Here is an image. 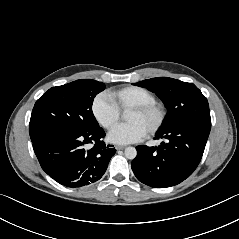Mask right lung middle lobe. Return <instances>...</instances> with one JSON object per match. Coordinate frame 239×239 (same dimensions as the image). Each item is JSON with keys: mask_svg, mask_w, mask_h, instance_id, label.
<instances>
[{"mask_svg": "<svg viewBox=\"0 0 239 239\" xmlns=\"http://www.w3.org/2000/svg\"><path fill=\"white\" fill-rule=\"evenodd\" d=\"M104 89L102 82L91 79L50 88L34 105L29 124L31 141L50 130L88 131L98 127L92 104Z\"/></svg>", "mask_w": 239, "mask_h": 239, "instance_id": "obj_1", "label": "right lung middle lobe"}]
</instances>
